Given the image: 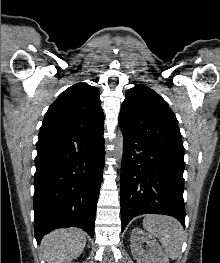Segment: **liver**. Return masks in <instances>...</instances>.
Here are the masks:
<instances>
[{"mask_svg": "<svg viewBox=\"0 0 220 263\" xmlns=\"http://www.w3.org/2000/svg\"><path fill=\"white\" fill-rule=\"evenodd\" d=\"M85 244V233L81 229H59L43 237L42 251L47 263H67L82 253Z\"/></svg>", "mask_w": 220, "mask_h": 263, "instance_id": "1", "label": "liver"}]
</instances>
